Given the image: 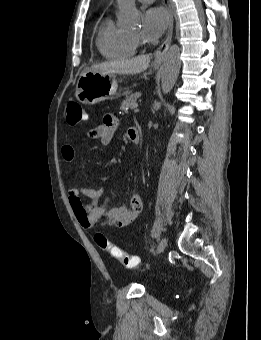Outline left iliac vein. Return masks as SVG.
Instances as JSON below:
<instances>
[{
  "label": "left iliac vein",
  "instance_id": "left-iliac-vein-1",
  "mask_svg": "<svg viewBox=\"0 0 261 340\" xmlns=\"http://www.w3.org/2000/svg\"><path fill=\"white\" fill-rule=\"evenodd\" d=\"M167 243H168L167 238H166V237H163V238L159 241V243H158L156 253H157V254L162 253V252L166 249Z\"/></svg>",
  "mask_w": 261,
  "mask_h": 340
}]
</instances>
